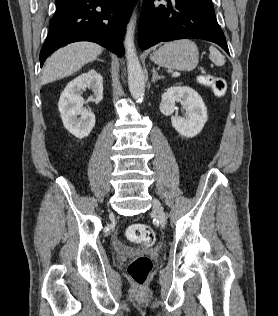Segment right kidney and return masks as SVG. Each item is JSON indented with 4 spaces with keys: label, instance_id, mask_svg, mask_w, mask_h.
<instances>
[{
    "label": "right kidney",
    "instance_id": "ca27d5eb",
    "mask_svg": "<svg viewBox=\"0 0 278 316\" xmlns=\"http://www.w3.org/2000/svg\"><path fill=\"white\" fill-rule=\"evenodd\" d=\"M91 89V99L98 103L103 99V77L94 69L70 81L62 92L58 108L64 127L75 137H87L95 126V115L83 108L82 91ZM80 116V117H78Z\"/></svg>",
    "mask_w": 278,
    "mask_h": 316
}]
</instances>
